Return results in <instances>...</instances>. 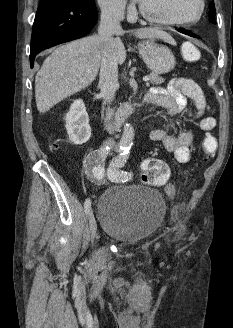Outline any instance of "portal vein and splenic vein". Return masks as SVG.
Instances as JSON below:
<instances>
[{
	"mask_svg": "<svg viewBox=\"0 0 233 328\" xmlns=\"http://www.w3.org/2000/svg\"><path fill=\"white\" fill-rule=\"evenodd\" d=\"M143 81H145L147 83L149 81V77H147V76L143 77Z\"/></svg>",
	"mask_w": 233,
	"mask_h": 328,
	"instance_id": "18ae733b",
	"label": "portal vein and splenic vein"
}]
</instances>
